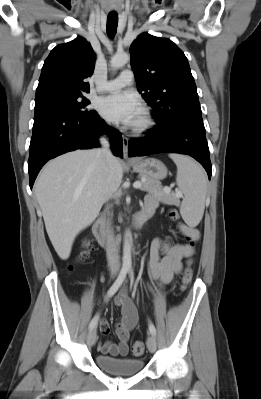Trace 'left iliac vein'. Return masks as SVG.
I'll return each mask as SVG.
<instances>
[{
  "instance_id": "obj_1",
  "label": "left iliac vein",
  "mask_w": 261,
  "mask_h": 399,
  "mask_svg": "<svg viewBox=\"0 0 261 399\" xmlns=\"http://www.w3.org/2000/svg\"><path fill=\"white\" fill-rule=\"evenodd\" d=\"M156 346H157V344H156V338H155V336L152 334V335H150V336L148 337V339H147V347H148V349H149V351H150L151 353H154V352L156 351Z\"/></svg>"
}]
</instances>
